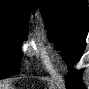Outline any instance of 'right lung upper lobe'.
Wrapping results in <instances>:
<instances>
[{"mask_svg":"<svg viewBox=\"0 0 89 89\" xmlns=\"http://www.w3.org/2000/svg\"><path fill=\"white\" fill-rule=\"evenodd\" d=\"M33 0H0V19L24 23L27 26Z\"/></svg>","mask_w":89,"mask_h":89,"instance_id":"cb5924a9","label":"right lung upper lobe"}]
</instances>
